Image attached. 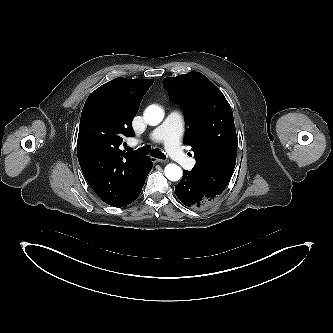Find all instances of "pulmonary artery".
<instances>
[{"instance_id": "pulmonary-artery-1", "label": "pulmonary artery", "mask_w": 333, "mask_h": 333, "mask_svg": "<svg viewBox=\"0 0 333 333\" xmlns=\"http://www.w3.org/2000/svg\"><path fill=\"white\" fill-rule=\"evenodd\" d=\"M184 130V119L179 111H172L164 122L154 129L150 138L164 144L169 156L185 169H192L195 161L186 155L181 147Z\"/></svg>"}]
</instances>
